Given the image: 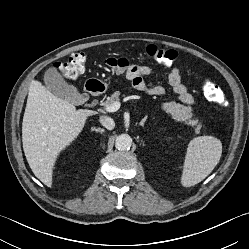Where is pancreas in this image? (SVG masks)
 I'll list each match as a JSON object with an SVG mask.
<instances>
[{"label": "pancreas", "mask_w": 249, "mask_h": 249, "mask_svg": "<svg viewBox=\"0 0 249 249\" xmlns=\"http://www.w3.org/2000/svg\"><path fill=\"white\" fill-rule=\"evenodd\" d=\"M120 94L121 93L119 91H116L111 97L107 98V100L103 102V105L106 107L112 105L116 101H119ZM161 107L162 110L170 114L173 119L194 127L195 131H199L201 129L202 125L197 119L193 118L191 107L177 104L175 102L162 103Z\"/></svg>", "instance_id": "1"}]
</instances>
